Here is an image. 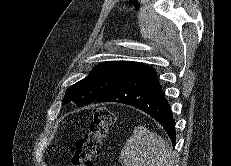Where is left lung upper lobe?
Wrapping results in <instances>:
<instances>
[{
  "label": "left lung upper lobe",
  "mask_w": 231,
  "mask_h": 166,
  "mask_svg": "<svg viewBox=\"0 0 231 166\" xmlns=\"http://www.w3.org/2000/svg\"><path fill=\"white\" fill-rule=\"evenodd\" d=\"M145 67V64L131 61L102 62L96 65L87 77L72 85L66 91L63 101H73L77 105L94 102L137 75Z\"/></svg>",
  "instance_id": "obj_1"
}]
</instances>
